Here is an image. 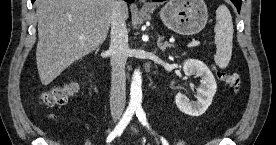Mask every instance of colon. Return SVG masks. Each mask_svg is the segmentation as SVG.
Listing matches in <instances>:
<instances>
[{
  "mask_svg": "<svg viewBox=\"0 0 276 145\" xmlns=\"http://www.w3.org/2000/svg\"><path fill=\"white\" fill-rule=\"evenodd\" d=\"M219 78L229 84L232 88L238 89L240 77L237 73L218 72ZM76 92L74 85L67 83L55 86L39 96V103L48 108L64 105Z\"/></svg>",
  "mask_w": 276,
  "mask_h": 145,
  "instance_id": "5ec220e1",
  "label": "colon"
}]
</instances>
